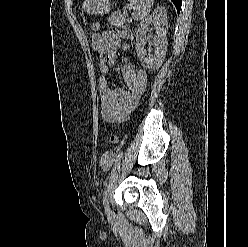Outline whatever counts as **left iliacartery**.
Returning a JSON list of instances; mask_svg holds the SVG:
<instances>
[{
    "label": "left iliac artery",
    "mask_w": 248,
    "mask_h": 247,
    "mask_svg": "<svg viewBox=\"0 0 248 247\" xmlns=\"http://www.w3.org/2000/svg\"><path fill=\"white\" fill-rule=\"evenodd\" d=\"M103 205H104V208H105L106 213H109L110 214L111 211H110L109 202H108V190H106L104 192V195H103Z\"/></svg>",
    "instance_id": "obj_1"
}]
</instances>
